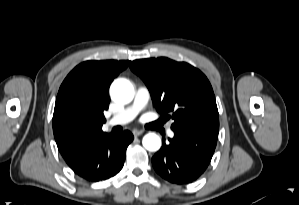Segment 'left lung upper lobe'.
<instances>
[{"label": "left lung upper lobe", "mask_w": 299, "mask_h": 205, "mask_svg": "<svg viewBox=\"0 0 299 205\" xmlns=\"http://www.w3.org/2000/svg\"><path fill=\"white\" fill-rule=\"evenodd\" d=\"M130 68L145 82L157 111L172 117V130L219 128L213 89L200 70L165 57L135 60Z\"/></svg>", "instance_id": "obj_1"}]
</instances>
